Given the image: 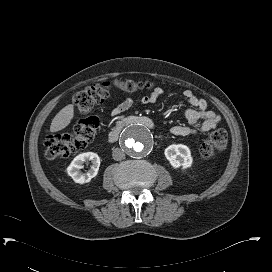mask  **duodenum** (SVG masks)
<instances>
[{"label":"duodenum","mask_w":272,"mask_h":272,"mask_svg":"<svg viewBox=\"0 0 272 272\" xmlns=\"http://www.w3.org/2000/svg\"><path fill=\"white\" fill-rule=\"evenodd\" d=\"M135 122V119L133 118H127L122 121H120L118 124H116L108 133L107 140L109 143H114L119 139V136L121 134L122 129ZM153 127V125H150Z\"/></svg>","instance_id":"obj_1"}]
</instances>
